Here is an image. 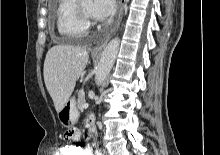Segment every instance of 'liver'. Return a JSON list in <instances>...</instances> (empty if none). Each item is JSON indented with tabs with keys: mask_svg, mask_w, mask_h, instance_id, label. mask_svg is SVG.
Segmentation results:
<instances>
[{
	"mask_svg": "<svg viewBox=\"0 0 220 155\" xmlns=\"http://www.w3.org/2000/svg\"><path fill=\"white\" fill-rule=\"evenodd\" d=\"M88 59V51L79 46L55 45L47 52L44 82L57 113L69 100Z\"/></svg>",
	"mask_w": 220,
	"mask_h": 155,
	"instance_id": "6515ba94",
	"label": "liver"
}]
</instances>
